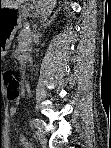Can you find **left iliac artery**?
Here are the masks:
<instances>
[{
    "label": "left iliac artery",
    "mask_w": 111,
    "mask_h": 148,
    "mask_svg": "<svg viewBox=\"0 0 111 148\" xmlns=\"http://www.w3.org/2000/svg\"><path fill=\"white\" fill-rule=\"evenodd\" d=\"M32 123L35 125V127H40V125H41V121H39V119H33L32 120Z\"/></svg>",
    "instance_id": "obj_1"
}]
</instances>
